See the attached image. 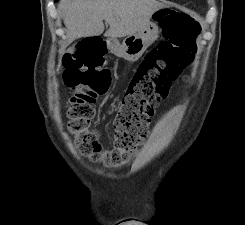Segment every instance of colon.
Here are the masks:
<instances>
[{
    "mask_svg": "<svg viewBox=\"0 0 245 225\" xmlns=\"http://www.w3.org/2000/svg\"><path fill=\"white\" fill-rule=\"evenodd\" d=\"M163 41L135 68L113 122L115 146L101 150L88 131L97 98L107 93L111 71L105 43L95 37L79 39L59 61L57 75L73 93L66 109L67 129L80 153L107 165L126 164L143 144L155 109L167 99L171 86L183 77L196 53L200 25L174 9L159 14Z\"/></svg>",
    "mask_w": 245,
    "mask_h": 225,
    "instance_id": "obj_1",
    "label": "colon"
}]
</instances>
